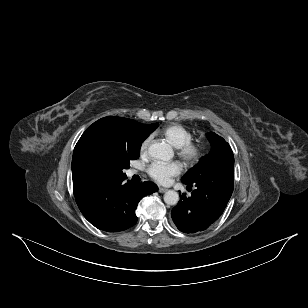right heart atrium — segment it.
Here are the masks:
<instances>
[{
	"instance_id": "1",
	"label": "right heart atrium",
	"mask_w": 308,
	"mask_h": 308,
	"mask_svg": "<svg viewBox=\"0 0 308 308\" xmlns=\"http://www.w3.org/2000/svg\"><path fill=\"white\" fill-rule=\"evenodd\" d=\"M149 142H150V138H146V139L142 142L141 147H140V152H141V154H145V153L147 152Z\"/></svg>"
}]
</instances>
